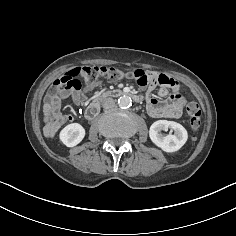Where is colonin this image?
<instances>
[{
  "instance_id": "colon-1",
  "label": "colon",
  "mask_w": 236,
  "mask_h": 236,
  "mask_svg": "<svg viewBox=\"0 0 236 236\" xmlns=\"http://www.w3.org/2000/svg\"><path fill=\"white\" fill-rule=\"evenodd\" d=\"M140 85H146L149 82V75L144 71H123L108 66H80L66 72L49 89V97L59 101L67 91H76L81 89L82 83L93 85L100 78H107L110 81H117L132 75ZM173 84V81L170 82ZM187 113L190 117V126L194 132H197L201 125L200 106L191 102L187 105Z\"/></svg>"
}]
</instances>
